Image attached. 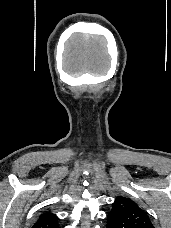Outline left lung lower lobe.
<instances>
[{"instance_id":"1","label":"left lung lower lobe","mask_w":171,"mask_h":228,"mask_svg":"<svg viewBox=\"0 0 171 228\" xmlns=\"http://www.w3.org/2000/svg\"><path fill=\"white\" fill-rule=\"evenodd\" d=\"M107 228H113L110 223H107Z\"/></svg>"}]
</instances>
